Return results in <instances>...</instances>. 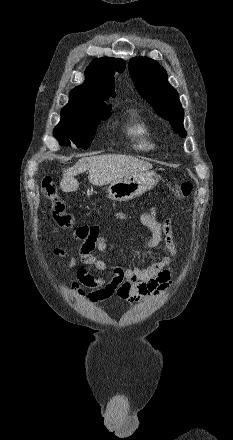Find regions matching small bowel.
Returning <instances> with one entry per match:
<instances>
[{"instance_id": "c3829d8e", "label": "small bowel", "mask_w": 233, "mask_h": 440, "mask_svg": "<svg viewBox=\"0 0 233 440\" xmlns=\"http://www.w3.org/2000/svg\"><path fill=\"white\" fill-rule=\"evenodd\" d=\"M113 218L121 221L128 220L124 212H116ZM140 220L151 232V236L138 245L143 250H151L157 247L162 240L168 250V255L149 265L146 268L109 266L100 259L95 251L101 254L107 252V242L104 231L99 225H83L77 228L74 238L83 241L78 250L81 260L95 270L110 275V280L101 276H94L85 267H79L76 279L71 288L73 292L85 298L91 304L101 303L116 295L120 300L133 304L148 296L160 297L171 285L173 270L171 262L177 253L175 238L169 220L160 223L157 219L155 208L149 209L140 216ZM56 255L63 254L61 248H55ZM77 260L70 256L68 269L76 266ZM83 287L92 291L86 292Z\"/></svg>"}]
</instances>
